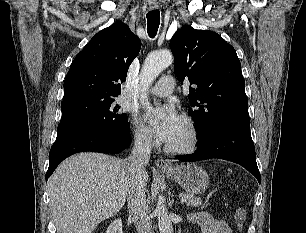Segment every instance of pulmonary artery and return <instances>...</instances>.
<instances>
[{"label":"pulmonary artery","mask_w":306,"mask_h":233,"mask_svg":"<svg viewBox=\"0 0 306 233\" xmlns=\"http://www.w3.org/2000/svg\"><path fill=\"white\" fill-rule=\"evenodd\" d=\"M175 80L172 76H163L159 82L149 90V94L157 97H166L173 92Z\"/></svg>","instance_id":"pulmonary-artery-1"}]
</instances>
